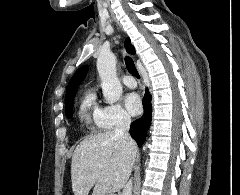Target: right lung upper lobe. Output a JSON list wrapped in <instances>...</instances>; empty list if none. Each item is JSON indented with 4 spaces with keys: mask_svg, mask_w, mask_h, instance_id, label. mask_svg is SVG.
Listing matches in <instances>:
<instances>
[{
    "mask_svg": "<svg viewBox=\"0 0 240 195\" xmlns=\"http://www.w3.org/2000/svg\"><path fill=\"white\" fill-rule=\"evenodd\" d=\"M126 48L129 53L134 54L135 50L133 45L130 43V39L126 40ZM87 72H88V66L87 65L82 66L75 72V74L71 78L66 89L65 107L68 106L71 102H73L77 88L86 77Z\"/></svg>",
    "mask_w": 240,
    "mask_h": 195,
    "instance_id": "1",
    "label": "right lung upper lobe"
}]
</instances>
